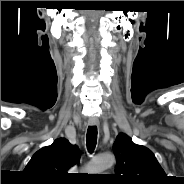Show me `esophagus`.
<instances>
[{"mask_svg":"<svg viewBox=\"0 0 184 184\" xmlns=\"http://www.w3.org/2000/svg\"><path fill=\"white\" fill-rule=\"evenodd\" d=\"M88 124L90 126H97V125H99V120L96 117H91L88 119Z\"/></svg>","mask_w":184,"mask_h":184,"instance_id":"esophagus-1","label":"esophagus"}]
</instances>
